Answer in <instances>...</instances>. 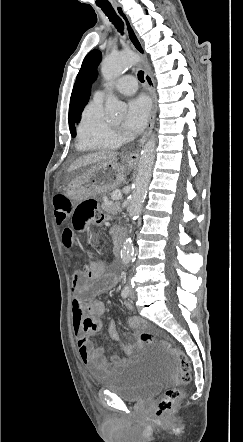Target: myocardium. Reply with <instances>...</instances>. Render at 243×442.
I'll use <instances>...</instances> for the list:
<instances>
[{
	"label": "myocardium",
	"mask_w": 243,
	"mask_h": 442,
	"mask_svg": "<svg viewBox=\"0 0 243 442\" xmlns=\"http://www.w3.org/2000/svg\"><path fill=\"white\" fill-rule=\"evenodd\" d=\"M108 132L110 136L117 141H120L123 137L121 127H117L113 125L111 122H108Z\"/></svg>",
	"instance_id": "f54148a6"
}]
</instances>
